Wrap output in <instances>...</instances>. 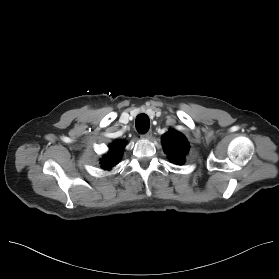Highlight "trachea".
Here are the masks:
<instances>
[{
	"label": "trachea",
	"instance_id": "trachea-1",
	"mask_svg": "<svg viewBox=\"0 0 279 279\" xmlns=\"http://www.w3.org/2000/svg\"><path fill=\"white\" fill-rule=\"evenodd\" d=\"M136 129L139 133L144 134L149 130L150 121L146 114H140L135 121Z\"/></svg>",
	"mask_w": 279,
	"mask_h": 279
}]
</instances>
